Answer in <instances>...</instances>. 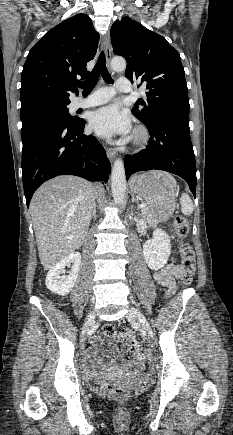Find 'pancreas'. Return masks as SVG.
Listing matches in <instances>:
<instances>
[{
  "mask_svg": "<svg viewBox=\"0 0 233 435\" xmlns=\"http://www.w3.org/2000/svg\"><path fill=\"white\" fill-rule=\"evenodd\" d=\"M142 216L151 225L156 224L158 222V218L155 212L149 206H146L144 209H142Z\"/></svg>",
  "mask_w": 233,
  "mask_h": 435,
  "instance_id": "1",
  "label": "pancreas"
}]
</instances>
